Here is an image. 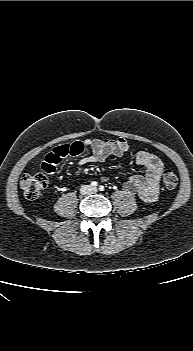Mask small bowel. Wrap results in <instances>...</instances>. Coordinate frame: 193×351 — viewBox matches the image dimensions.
Segmentation results:
<instances>
[{"instance_id": "c3829d8e", "label": "small bowel", "mask_w": 193, "mask_h": 351, "mask_svg": "<svg viewBox=\"0 0 193 351\" xmlns=\"http://www.w3.org/2000/svg\"><path fill=\"white\" fill-rule=\"evenodd\" d=\"M87 148L92 153L89 156H83ZM128 152L129 144L124 138L116 140L89 138L84 141L55 145L45 158L42 168L47 174L53 175L58 163L68 157L83 156L78 165L84 166L92 162L105 161L110 157H123ZM135 160L145 170V174L131 175L124 183L123 191L129 195H137L144 202H153L158 196L164 163L157 156L145 151L138 152Z\"/></svg>"}]
</instances>
